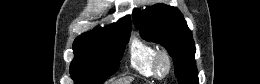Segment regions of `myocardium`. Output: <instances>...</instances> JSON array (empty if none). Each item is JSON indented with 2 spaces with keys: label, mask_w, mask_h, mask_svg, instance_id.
Instances as JSON below:
<instances>
[{
  "label": "myocardium",
  "mask_w": 260,
  "mask_h": 84,
  "mask_svg": "<svg viewBox=\"0 0 260 84\" xmlns=\"http://www.w3.org/2000/svg\"><path fill=\"white\" fill-rule=\"evenodd\" d=\"M154 75L158 79L166 78L172 70V59L166 50L157 51L153 61Z\"/></svg>",
  "instance_id": "f54148a6"
}]
</instances>
